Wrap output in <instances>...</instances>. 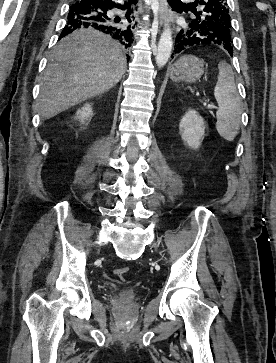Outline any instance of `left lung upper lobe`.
Segmentation results:
<instances>
[{
	"mask_svg": "<svg viewBox=\"0 0 276 363\" xmlns=\"http://www.w3.org/2000/svg\"><path fill=\"white\" fill-rule=\"evenodd\" d=\"M226 0H201L196 1V4L203 5L202 11L198 12L196 19L191 22V25L200 26L201 29L209 30L215 35V44L225 46L232 49L230 35V15Z\"/></svg>",
	"mask_w": 276,
	"mask_h": 363,
	"instance_id": "1",
	"label": "left lung upper lobe"
}]
</instances>
